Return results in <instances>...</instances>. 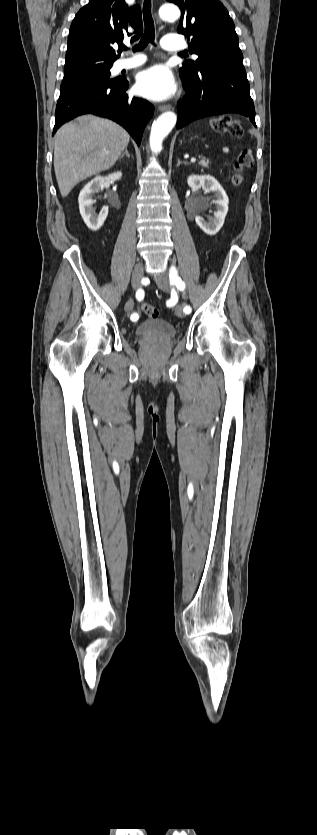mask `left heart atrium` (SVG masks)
Wrapping results in <instances>:
<instances>
[{
    "label": "left heart atrium",
    "mask_w": 317,
    "mask_h": 835,
    "mask_svg": "<svg viewBox=\"0 0 317 835\" xmlns=\"http://www.w3.org/2000/svg\"><path fill=\"white\" fill-rule=\"evenodd\" d=\"M135 88L143 97L162 101L175 93L176 83L167 67L155 65L138 74Z\"/></svg>",
    "instance_id": "1"
}]
</instances>
